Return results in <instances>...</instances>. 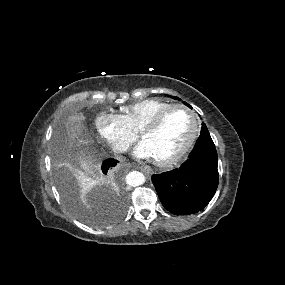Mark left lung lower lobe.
<instances>
[{"instance_id": "0a47b994", "label": "left lung lower lobe", "mask_w": 285, "mask_h": 285, "mask_svg": "<svg viewBox=\"0 0 285 285\" xmlns=\"http://www.w3.org/2000/svg\"><path fill=\"white\" fill-rule=\"evenodd\" d=\"M217 167V152L210 134H201L189 158L179 168L152 176L163 206L178 215L202 210L218 187Z\"/></svg>"}]
</instances>
